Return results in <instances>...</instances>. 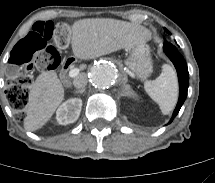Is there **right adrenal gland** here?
Masks as SVG:
<instances>
[{
  "label": "right adrenal gland",
  "instance_id": "right-adrenal-gland-1",
  "mask_svg": "<svg viewBox=\"0 0 215 183\" xmlns=\"http://www.w3.org/2000/svg\"><path fill=\"white\" fill-rule=\"evenodd\" d=\"M84 91H85V88H82V89H79V90H75L74 93L82 94V93H84Z\"/></svg>",
  "mask_w": 215,
  "mask_h": 183
}]
</instances>
